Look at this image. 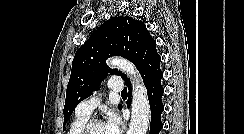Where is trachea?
Returning <instances> with one entry per match:
<instances>
[{"instance_id":"obj_1","label":"trachea","mask_w":244,"mask_h":134,"mask_svg":"<svg viewBox=\"0 0 244 134\" xmlns=\"http://www.w3.org/2000/svg\"><path fill=\"white\" fill-rule=\"evenodd\" d=\"M121 95H122V96L127 95V89H124V90L122 91Z\"/></svg>"}]
</instances>
